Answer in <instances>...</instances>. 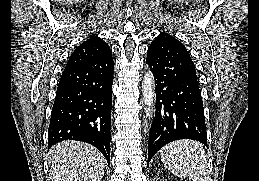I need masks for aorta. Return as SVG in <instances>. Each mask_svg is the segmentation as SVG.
<instances>
[{
    "label": "aorta",
    "mask_w": 259,
    "mask_h": 181,
    "mask_svg": "<svg viewBox=\"0 0 259 181\" xmlns=\"http://www.w3.org/2000/svg\"><path fill=\"white\" fill-rule=\"evenodd\" d=\"M143 100L145 104V112L147 116H151L153 106L155 104V83L154 76L151 71L144 74L142 82Z\"/></svg>",
    "instance_id": "obj_1"
}]
</instances>
